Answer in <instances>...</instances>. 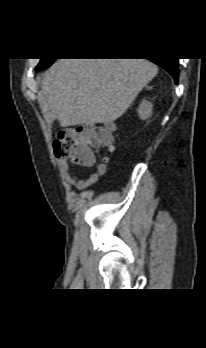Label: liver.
I'll return each instance as SVG.
<instances>
[{
	"label": "liver",
	"instance_id": "1",
	"mask_svg": "<svg viewBox=\"0 0 206 348\" xmlns=\"http://www.w3.org/2000/svg\"><path fill=\"white\" fill-rule=\"evenodd\" d=\"M157 73L147 59H58L44 73L41 92L63 127L110 123Z\"/></svg>",
	"mask_w": 206,
	"mask_h": 348
}]
</instances>
